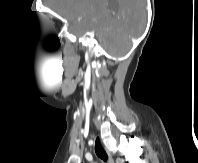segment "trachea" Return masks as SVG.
Wrapping results in <instances>:
<instances>
[{"mask_svg": "<svg viewBox=\"0 0 198 163\" xmlns=\"http://www.w3.org/2000/svg\"><path fill=\"white\" fill-rule=\"evenodd\" d=\"M95 152H96L97 156L100 159H102L104 162L107 160V154H106L104 148L102 147L99 138H97L96 142H95Z\"/></svg>", "mask_w": 198, "mask_h": 163, "instance_id": "3493384b", "label": "trachea"}]
</instances>
